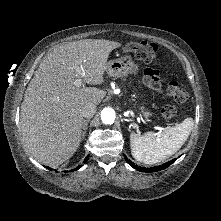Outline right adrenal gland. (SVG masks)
I'll list each match as a JSON object with an SVG mask.
<instances>
[{"label":"right adrenal gland","instance_id":"1","mask_svg":"<svg viewBox=\"0 0 221 221\" xmlns=\"http://www.w3.org/2000/svg\"><path fill=\"white\" fill-rule=\"evenodd\" d=\"M89 121H90V119H86L83 121L82 139L85 138V134H86V130L88 128Z\"/></svg>","mask_w":221,"mask_h":221}]
</instances>
